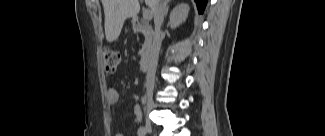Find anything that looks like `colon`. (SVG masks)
Here are the masks:
<instances>
[{
	"label": "colon",
	"mask_w": 325,
	"mask_h": 136,
	"mask_svg": "<svg viewBox=\"0 0 325 136\" xmlns=\"http://www.w3.org/2000/svg\"><path fill=\"white\" fill-rule=\"evenodd\" d=\"M120 63V54L113 48L103 50V65L106 73L113 74L116 72Z\"/></svg>",
	"instance_id": "1"
}]
</instances>
